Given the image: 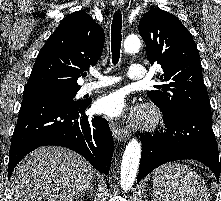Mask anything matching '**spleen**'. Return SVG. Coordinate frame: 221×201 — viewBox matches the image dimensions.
I'll list each match as a JSON object with an SVG mask.
<instances>
[{"mask_svg":"<svg viewBox=\"0 0 221 201\" xmlns=\"http://www.w3.org/2000/svg\"><path fill=\"white\" fill-rule=\"evenodd\" d=\"M153 191L160 201H210L199 174L179 162L164 164L154 172Z\"/></svg>","mask_w":221,"mask_h":201,"instance_id":"spleen-1","label":"spleen"}]
</instances>
